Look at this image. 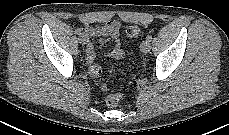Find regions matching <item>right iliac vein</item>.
Listing matches in <instances>:
<instances>
[{"mask_svg": "<svg viewBox=\"0 0 229 135\" xmlns=\"http://www.w3.org/2000/svg\"><path fill=\"white\" fill-rule=\"evenodd\" d=\"M86 38H87V37H86L85 35H82L81 38H80V40H81L82 42H84V41L86 40Z\"/></svg>", "mask_w": 229, "mask_h": 135, "instance_id": "63e3f726", "label": "right iliac vein"}]
</instances>
